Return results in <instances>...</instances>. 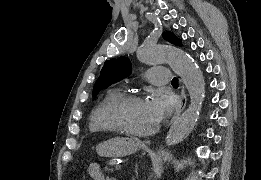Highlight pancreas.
Masks as SVG:
<instances>
[{
  "mask_svg": "<svg viewBox=\"0 0 261 180\" xmlns=\"http://www.w3.org/2000/svg\"><path fill=\"white\" fill-rule=\"evenodd\" d=\"M102 166L105 168V170H113V165L111 164L110 159H105L104 162L102 163Z\"/></svg>",
  "mask_w": 261,
  "mask_h": 180,
  "instance_id": "1",
  "label": "pancreas"
}]
</instances>
